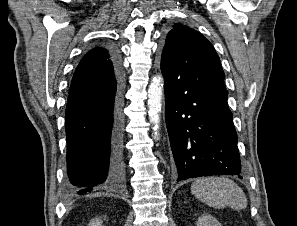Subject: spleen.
<instances>
[{
	"instance_id": "obj_1",
	"label": "spleen",
	"mask_w": 297,
	"mask_h": 226,
	"mask_svg": "<svg viewBox=\"0 0 297 226\" xmlns=\"http://www.w3.org/2000/svg\"><path fill=\"white\" fill-rule=\"evenodd\" d=\"M191 193L210 207L229 206L236 210L245 209L248 204L243 190L226 177H206L197 179L191 185Z\"/></svg>"
}]
</instances>
